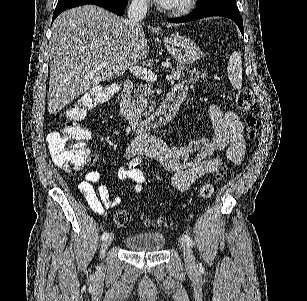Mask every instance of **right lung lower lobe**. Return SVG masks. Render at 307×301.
Here are the masks:
<instances>
[{
  "label": "right lung lower lobe",
  "instance_id": "98d812e1",
  "mask_svg": "<svg viewBox=\"0 0 307 301\" xmlns=\"http://www.w3.org/2000/svg\"><path fill=\"white\" fill-rule=\"evenodd\" d=\"M128 0H58L53 13L52 22L64 10L86 4L103 7L117 15H123Z\"/></svg>",
  "mask_w": 307,
  "mask_h": 301
}]
</instances>
